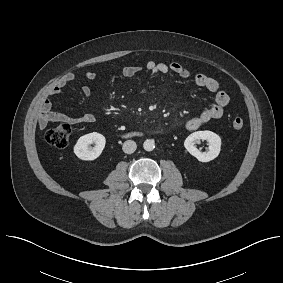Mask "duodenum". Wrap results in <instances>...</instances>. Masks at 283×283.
Listing matches in <instances>:
<instances>
[{
    "instance_id": "obj_1",
    "label": "duodenum",
    "mask_w": 283,
    "mask_h": 283,
    "mask_svg": "<svg viewBox=\"0 0 283 283\" xmlns=\"http://www.w3.org/2000/svg\"><path fill=\"white\" fill-rule=\"evenodd\" d=\"M141 135H142V132H139V131L133 133V136H136V137H139Z\"/></svg>"
}]
</instances>
